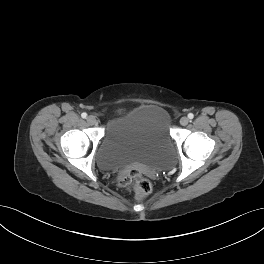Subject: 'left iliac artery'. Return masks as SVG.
I'll list each match as a JSON object with an SVG mask.
<instances>
[{
	"mask_svg": "<svg viewBox=\"0 0 264 264\" xmlns=\"http://www.w3.org/2000/svg\"><path fill=\"white\" fill-rule=\"evenodd\" d=\"M188 118H189V119H193V118H194L193 113H189V114H188Z\"/></svg>",
	"mask_w": 264,
	"mask_h": 264,
	"instance_id": "1",
	"label": "left iliac artery"
}]
</instances>
